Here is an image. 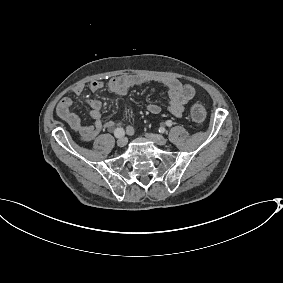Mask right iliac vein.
<instances>
[{
    "instance_id": "right-iliac-vein-1",
    "label": "right iliac vein",
    "mask_w": 283,
    "mask_h": 283,
    "mask_svg": "<svg viewBox=\"0 0 283 283\" xmlns=\"http://www.w3.org/2000/svg\"><path fill=\"white\" fill-rule=\"evenodd\" d=\"M127 144V139L124 137H121L117 140V145L119 147H124Z\"/></svg>"
}]
</instances>
